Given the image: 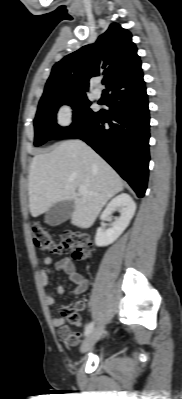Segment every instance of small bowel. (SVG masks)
Listing matches in <instances>:
<instances>
[{
  "label": "small bowel",
  "mask_w": 182,
  "mask_h": 399,
  "mask_svg": "<svg viewBox=\"0 0 182 399\" xmlns=\"http://www.w3.org/2000/svg\"><path fill=\"white\" fill-rule=\"evenodd\" d=\"M43 267L40 270V276L42 280V284L46 287L49 284L50 275L52 273L51 266L53 265L54 270L61 271L65 274L67 279L73 284V289L69 292L66 289L59 285L55 289V293L51 291H46L45 293V301L48 306H53L56 302V295L63 296L66 293L69 294H82L88 289V280L84 277L83 274L76 271L74 263L68 257H64L53 262V259L49 256L44 257L43 259ZM79 310L84 307L83 302L76 303ZM52 324L59 328L60 337L66 342V344L70 346H75L79 343L82 334L81 333H72L70 329L65 326V319L63 317H53Z\"/></svg>",
  "instance_id": "small-bowel-1"
}]
</instances>
